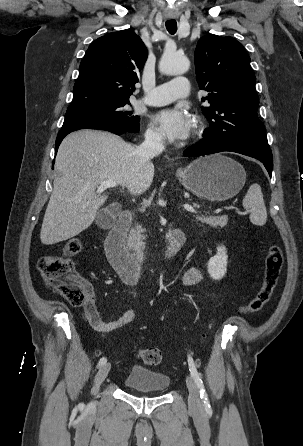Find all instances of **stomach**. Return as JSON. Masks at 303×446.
I'll use <instances>...</instances> for the list:
<instances>
[{"label":"stomach","mask_w":303,"mask_h":446,"mask_svg":"<svg viewBox=\"0 0 303 446\" xmlns=\"http://www.w3.org/2000/svg\"><path fill=\"white\" fill-rule=\"evenodd\" d=\"M176 174L186 189L210 201L236 196L246 181L243 166L222 154L200 157Z\"/></svg>","instance_id":"obj_1"}]
</instances>
